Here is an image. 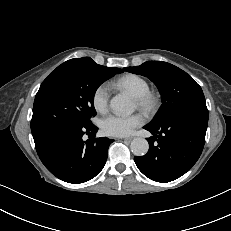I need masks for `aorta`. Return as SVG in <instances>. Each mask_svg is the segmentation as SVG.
Listing matches in <instances>:
<instances>
[{
  "label": "aorta",
  "mask_w": 231,
  "mask_h": 231,
  "mask_svg": "<svg viewBox=\"0 0 231 231\" xmlns=\"http://www.w3.org/2000/svg\"><path fill=\"white\" fill-rule=\"evenodd\" d=\"M110 107L118 113L131 114L134 111L131 100L122 94H118L111 99ZM130 148L134 155L143 156L148 152L149 144L144 138H135L132 140Z\"/></svg>",
  "instance_id": "aorta-1"
}]
</instances>
